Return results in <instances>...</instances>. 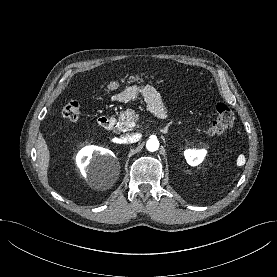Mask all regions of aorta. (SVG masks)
Listing matches in <instances>:
<instances>
[{"label": "aorta", "mask_w": 277, "mask_h": 277, "mask_svg": "<svg viewBox=\"0 0 277 277\" xmlns=\"http://www.w3.org/2000/svg\"><path fill=\"white\" fill-rule=\"evenodd\" d=\"M146 148L148 151H151V152L158 150V148H159L158 139L156 137H151L150 139H148V141L146 143Z\"/></svg>", "instance_id": "762f6f07"}]
</instances>
